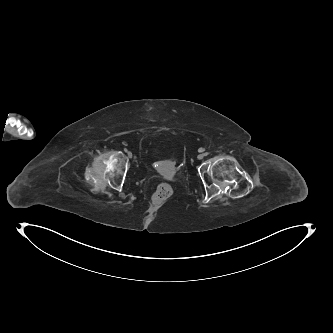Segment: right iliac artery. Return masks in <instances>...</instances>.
Listing matches in <instances>:
<instances>
[{"instance_id":"right-iliac-artery-1","label":"right iliac artery","mask_w":333,"mask_h":333,"mask_svg":"<svg viewBox=\"0 0 333 333\" xmlns=\"http://www.w3.org/2000/svg\"><path fill=\"white\" fill-rule=\"evenodd\" d=\"M124 151H125V152H128L127 148H124Z\"/></svg>"}]
</instances>
